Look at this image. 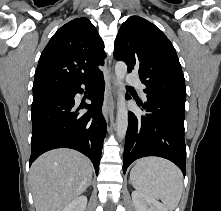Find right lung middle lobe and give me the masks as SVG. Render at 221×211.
I'll return each mask as SVG.
<instances>
[{
    "label": "right lung middle lobe",
    "mask_w": 221,
    "mask_h": 211,
    "mask_svg": "<svg viewBox=\"0 0 221 211\" xmlns=\"http://www.w3.org/2000/svg\"><path fill=\"white\" fill-rule=\"evenodd\" d=\"M47 91H48V90L33 92V96H36V95H39V94L45 93V92H47Z\"/></svg>",
    "instance_id": "1"
}]
</instances>
